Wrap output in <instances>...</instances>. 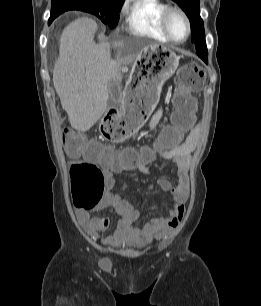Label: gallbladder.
<instances>
[{
  "label": "gallbladder",
  "instance_id": "gallbladder-1",
  "mask_svg": "<svg viewBox=\"0 0 261 306\" xmlns=\"http://www.w3.org/2000/svg\"><path fill=\"white\" fill-rule=\"evenodd\" d=\"M108 90L110 94L108 103L109 104L117 103L120 100L122 94L120 85L115 82H110L108 83Z\"/></svg>",
  "mask_w": 261,
  "mask_h": 306
}]
</instances>
